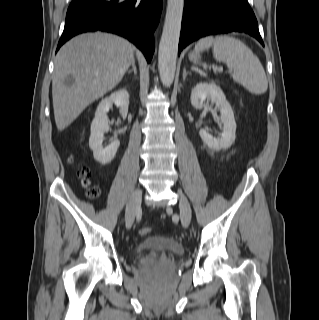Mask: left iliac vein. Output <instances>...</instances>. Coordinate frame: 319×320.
<instances>
[{
    "instance_id": "1",
    "label": "left iliac vein",
    "mask_w": 319,
    "mask_h": 320,
    "mask_svg": "<svg viewBox=\"0 0 319 320\" xmlns=\"http://www.w3.org/2000/svg\"><path fill=\"white\" fill-rule=\"evenodd\" d=\"M179 205L181 223L186 228L190 223L192 212L188 199L182 193H179Z\"/></svg>"
}]
</instances>
